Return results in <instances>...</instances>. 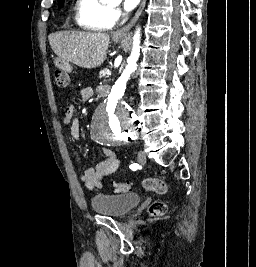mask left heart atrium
<instances>
[{
    "instance_id": "39dd6f15",
    "label": "left heart atrium",
    "mask_w": 256,
    "mask_h": 267,
    "mask_svg": "<svg viewBox=\"0 0 256 267\" xmlns=\"http://www.w3.org/2000/svg\"><path fill=\"white\" fill-rule=\"evenodd\" d=\"M129 8H130L129 5L125 4V9H129Z\"/></svg>"
}]
</instances>
